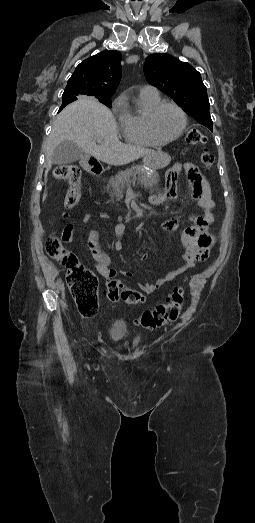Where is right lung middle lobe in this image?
I'll use <instances>...</instances> for the list:
<instances>
[{"label":"right lung middle lobe","instance_id":"dd1d6c3e","mask_svg":"<svg viewBox=\"0 0 255 523\" xmlns=\"http://www.w3.org/2000/svg\"><path fill=\"white\" fill-rule=\"evenodd\" d=\"M98 100H99V102L103 103L107 107H111L112 106V101H111L110 98H101V99H98Z\"/></svg>","mask_w":255,"mask_h":523}]
</instances>
